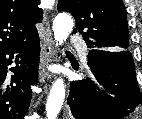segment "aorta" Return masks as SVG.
<instances>
[{"label":"aorta","instance_id":"1","mask_svg":"<svg viewBox=\"0 0 142 119\" xmlns=\"http://www.w3.org/2000/svg\"><path fill=\"white\" fill-rule=\"evenodd\" d=\"M54 39L61 45L68 38L73 29V19L69 14L60 13L53 21ZM65 99V85L62 78H58L52 85L46 103L47 119H56Z\"/></svg>","mask_w":142,"mask_h":119}]
</instances>
